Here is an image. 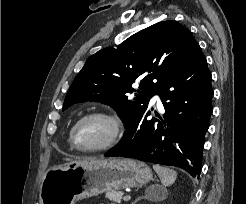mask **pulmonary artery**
I'll return each instance as SVG.
<instances>
[{
    "label": "pulmonary artery",
    "instance_id": "e3ab8cb5",
    "mask_svg": "<svg viewBox=\"0 0 246 204\" xmlns=\"http://www.w3.org/2000/svg\"><path fill=\"white\" fill-rule=\"evenodd\" d=\"M152 102H154V103H155V102L159 103V102H160V97H159V95H157V94L154 95L153 98H152Z\"/></svg>",
    "mask_w": 246,
    "mask_h": 204
}]
</instances>
